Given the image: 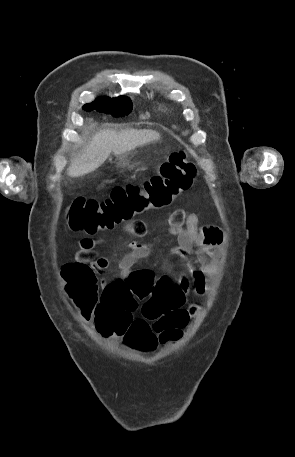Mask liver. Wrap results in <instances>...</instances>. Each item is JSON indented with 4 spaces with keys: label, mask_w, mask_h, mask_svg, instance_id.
Instances as JSON below:
<instances>
[{
    "label": "liver",
    "mask_w": 295,
    "mask_h": 457,
    "mask_svg": "<svg viewBox=\"0 0 295 457\" xmlns=\"http://www.w3.org/2000/svg\"><path fill=\"white\" fill-rule=\"evenodd\" d=\"M159 139L160 134L149 129H130L121 132L102 130L92 137L84 152L71 161L67 174L73 178L84 176L100 167L111 152L115 156L124 155Z\"/></svg>",
    "instance_id": "obj_1"
}]
</instances>
